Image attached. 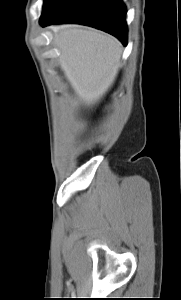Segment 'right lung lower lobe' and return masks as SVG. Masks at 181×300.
I'll return each mask as SVG.
<instances>
[{"label":"right lung lower lobe","instance_id":"right-lung-lower-lobe-1","mask_svg":"<svg viewBox=\"0 0 181 300\" xmlns=\"http://www.w3.org/2000/svg\"><path fill=\"white\" fill-rule=\"evenodd\" d=\"M66 22L98 28L127 44L126 8L121 0H62L40 19L43 27Z\"/></svg>","mask_w":181,"mask_h":300}]
</instances>
